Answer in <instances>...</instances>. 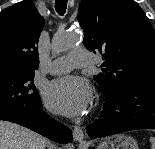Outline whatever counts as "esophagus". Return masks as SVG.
<instances>
[{
	"label": "esophagus",
	"instance_id": "34e87169",
	"mask_svg": "<svg viewBox=\"0 0 155 149\" xmlns=\"http://www.w3.org/2000/svg\"><path fill=\"white\" fill-rule=\"evenodd\" d=\"M73 138L77 142H83L84 141V133L80 127L75 126L73 128Z\"/></svg>",
	"mask_w": 155,
	"mask_h": 149
}]
</instances>
